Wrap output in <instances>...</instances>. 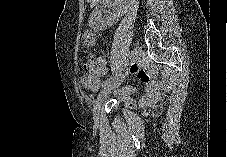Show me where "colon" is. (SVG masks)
Listing matches in <instances>:
<instances>
[{"label": "colon", "instance_id": "5ec220e1", "mask_svg": "<svg viewBox=\"0 0 227 157\" xmlns=\"http://www.w3.org/2000/svg\"><path fill=\"white\" fill-rule=\"evenodd\" d=\"M97 42V34L92 29H85L82 32V43L84 47L90 48ZM99 58H95L92 53L86 52L84 62L82 64V82L85 86H89L92 82V74Z\"/></svg>", "mask_w": 227, "mask_h": 157}]
</instances>
